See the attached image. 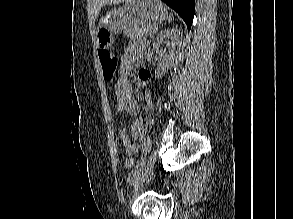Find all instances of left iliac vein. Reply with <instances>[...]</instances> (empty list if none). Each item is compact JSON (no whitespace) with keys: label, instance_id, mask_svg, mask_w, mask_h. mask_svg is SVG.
<instances>
[{"label":"left iliac vein","instance_id":"4c4485c4","mask_svg":"<svg viewBox=\"0 0 293 219\" xmlns=\"http://www.w3.org/2000/svg\"><path fill=\"white\" fill-rule=\"evenodd\" d=\"M155 160H156V152L154 151L150 162L144 169L141 170V172L138 175L137 182L134 188V195L137 194L138 189L140 188L142 183L145 181L146 177L148 176V173L151 171L153 167Z\"/></svg>","mask_w":293,"mask_h":219}]
</instances>
